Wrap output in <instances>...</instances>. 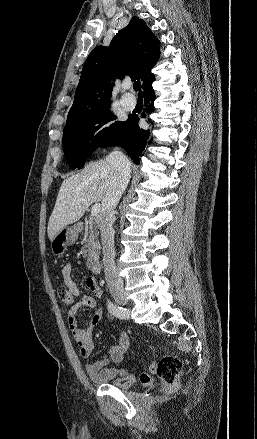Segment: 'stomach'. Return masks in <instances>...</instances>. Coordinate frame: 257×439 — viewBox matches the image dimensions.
Here are the masks:
<instances>
[{"label":"stomach","instance_id":"stomach-1","mask_svg":"<svg viewBox=\"0 0 257 439\" xmlns=\"http://www.w3.org/2000/svg\"><path fill=\"white\" fill-rule=\"evenodd\" d=\"M78 238L77 226H66L62 228L51 240V251L55 256H62L67 247L75 243Z\"/></svg>","mask_w":257,"mask_h":439}]
</instances>
